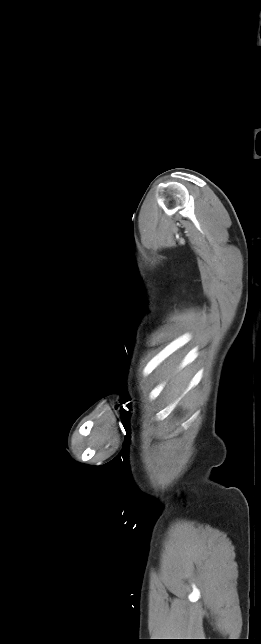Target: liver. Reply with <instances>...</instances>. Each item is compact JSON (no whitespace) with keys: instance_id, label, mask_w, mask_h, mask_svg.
<instances>
[{"instance_id":"1","label":"liver","mask_w":261,"mask_h":644,"mask_svg":"<svg viewBox=\"0 0 261 644\" xmlns=\"http://www.w3.org/2000/svg\"><path fill=\"white\" fill-rule=\"evenodd\" d=\"M180 359L173 357L169 360L167 364L164 365L161 371L162 379L170 380L168 384V389L170 392L168 396L170 400L176 399L186 388L190 381V372L188 369L178 371L177 368L180 363ZM189 397L185 399V402L188 403Z\"/></svg>"}]
</instances>
